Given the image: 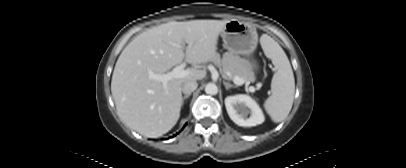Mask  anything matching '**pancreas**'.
<instances>
[{"label":"pancreas","mask_w":406,"mask_h":168,"mask_svg":"<svg viewBox=\"0 0 406 168\" xmlns=\"http://www.w3.org/2000/svg\"><path fill=\"white\" fill-rule=\"evenodd\" d=\"M219 67L223 76L233 79L235 76L242 78L245 82L255 81V75L249 63L231 53H225L221 59L219 55L212 60Z\"/></svg>","instance_id":"pancreas-1"}]
</instances>
